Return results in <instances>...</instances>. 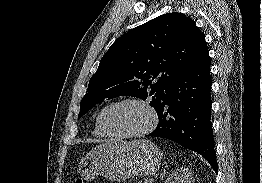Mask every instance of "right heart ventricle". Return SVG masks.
<instances>
[{
	"label": "right heart ventricle",
	"instance_id": "1",
	"mask_svg": "<svg viewBox=\"0 0 262 183\" xmlns=\"http://www.w3.org/2000/svg\"><path fill=\"white\" fill-rule=\"evenodd\" d=\"M93 135L97 138H105L106 135H104L101 130L98 127L97 120L95 121L94 128H93Z\"/></svg>",
	"mask_w": 262,
	"mask_h": 183
}]
</instances>
